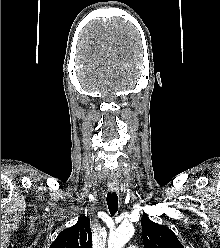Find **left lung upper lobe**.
I'll list each match as a JSON object with an SVG mask.
<instances>
[{"mask_svg": "<svg viewBox=\"0 0 220 248\" xmlns=\"http://www.w3.org/2000/svg\"><path fill=\"white\" fill-rule=\"evenodd\" d=\"M141 226L145 248H184L171 229L152 222L146 214Z\"/></svg>", "mask_w": 220, "mask_h": 248, "instance_id": "1", "label": "left lung upper lobe"}]
</instances>
